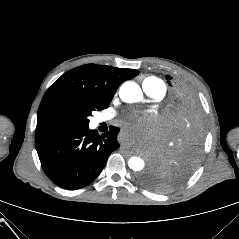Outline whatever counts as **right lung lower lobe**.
I'll use <instances>...</instances> for the list:
<instances>
[{
	"label": "right lung lower lobe",
	"instance_id": "98d812e1",
	"mask_svg": "<svg viewBox=\"0 0 239 239\" xmlns=\"http://www.w3.org/2000/svg\"><path fill=\"white\" fill-rule=\"evenodd\" d=\"M119 128L99 135L88 125L35 136L36 150L46 175L56 185L76 190L90 184L102 171L111 152L119 148Z\"/></svg>",
	"mask_w": 239,
	"mask_h": 239
}]
</instances>
